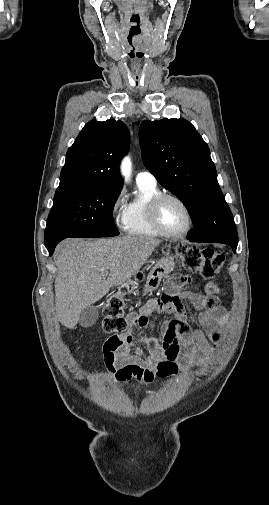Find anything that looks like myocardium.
Listing matches in <instances>:
<instances>
[{"instance_id": "myocardium-1", "label": "myocardium", "mask_w": 269, "mask_h": 505, "mask_svg": "<svg viewBox=\"0 0 269 505\" xmlns=\"http://www.w3.org/2000/svg\"><path fill=\"white\" fill-rule=\"evenodd\" d=\"M171 199L178 202L186 211L188 217V223L184 230L180 232H170L167 231L161 224L159 219V208L163 201ZM148 216L153 228L164 237L169 238H180L187 235L194 224V217L189 205L179 196L172 193H159L155 195L148 203Z\"/></svg>"}]
</instances>
